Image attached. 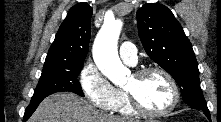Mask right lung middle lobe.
I'll return each mask as SVG.
<instances>
[{"label":"right lung middle lobe","instance_id":"1","mask_svg":"<svg viewBox=\"0 0 221 122\" xmlns=\"http://www.w3.org/2000/svg\"><path fill=\"white\" fill-rule=\"evenodd\" d=\"M83 67L81 62H45L39 83L31 101L44 99L56 93L69 91L84 96L77 77Z\"/></svg>","mask_w":221,"mask_h":122}]
</instances>
